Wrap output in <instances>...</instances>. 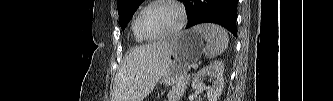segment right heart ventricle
Listing matches in <instances>:
<instances>
[{
	"mask_svg": "<svg viewBox=\"0 0 333 101\" xmlns=\"http://www.w3.org/2000/svg\"><path fill=\"white\" fill-rule=\"evenodd\" d=\"M135 21H136V16L134 17L133 21H132V32H133V36L135 38V40L137 42H144L145 39L139 35V33L137 32V29H136V24H135Z\"/></svg>",
	"mask_w": 333,
	"mask_h": 101,
	"instance_id": "right-heart-ventricle-1",
	"label": "right heart ventricle"
}]
</instances>
